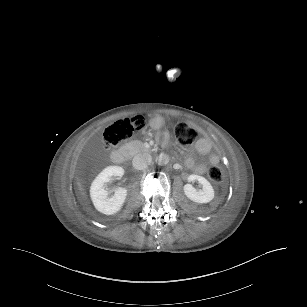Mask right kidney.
I'll return each instance as SVG.
<instances>
[{
  "label": "right kidney",
  "instance_id": "ca27d5eb",
  "mask_svg": "<svg viewBox=\"0 0 307 307\" xmlns=\"http://www.w3.org/2000/svg\"><path fill=\"white\" fill-rule=\"evenodd\" d=\"M123 175L124 169L121 166H108L93 180L90 187V197L96 210L106 215H112L121 209L127 190L123 187H118L114 195L108 197L105 183L110 182L113 176L122 177Z\"/></svg>",
  "mask_w": 307,
  "mask_h": 307
}]
</instances>
